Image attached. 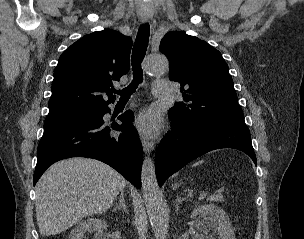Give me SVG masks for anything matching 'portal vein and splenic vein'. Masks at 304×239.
<instances>
[{
    "mask_svg": "<svg viewBox=\"0 0 304 239\" xmlns=\"http://www.w3.org/2000/svg\"><path fill=\"white\" fill-rule=\"evenodd\" d=\"M201 196H206V193H205V192H203V193L201 194Z\"/></svg>",
    "mask_w": 304,
    "mask_h": 239,
    "instance_id": "18ae733b",
    "label": "portal vein and splenic vein"
}]
</instances>
